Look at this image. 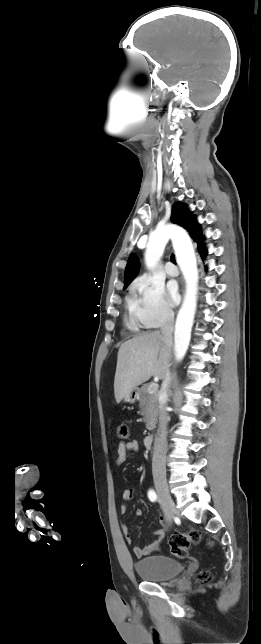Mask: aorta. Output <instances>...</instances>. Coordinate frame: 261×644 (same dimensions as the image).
Instances as JSON below:
<instances>
[{
  "label": "aorta",
  "instance_id": "obj_1",
  "mask_svg": "<svg viewBox=\"0 0 261 644\" xmlns=\"http://www.w3.org/2000/svg\"><path fill=\"white\" fill-rule=\"evenodd\" d=\"M174 237V231L169 229H157L151 234L144 254L145 264L149 270H153L157 266L169 238ZM176 258L187 284L186 295L177 316L174 333L175 357L177 361H181L186 354L191 338L196 310L198 272L192 249L178 248Z\"/></svg>",
  "mask_w": 261,
  "mask_h": 644
}]
</instances>
